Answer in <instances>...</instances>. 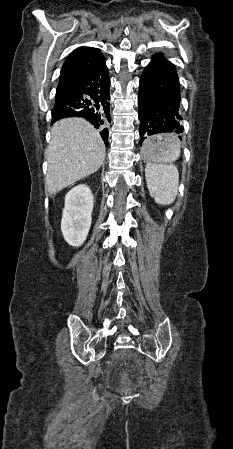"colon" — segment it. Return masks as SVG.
Returning <instances> with one entry per match:
<instances>
[{"label": "colon", "instance_id": "obj_1", "mask_svg": "<svg viewBox=\"0 0 233 449\" xmlns=\"http://www.w3.org/2000/svg\"><path fill=\"white\" fill-rule=\"evenodd\" d=\"M126 378H127L126 375H124V376H123V380L126 381Z\"/></svg>", "mask_w": 233, "mask_h": 449}]
</instances>
